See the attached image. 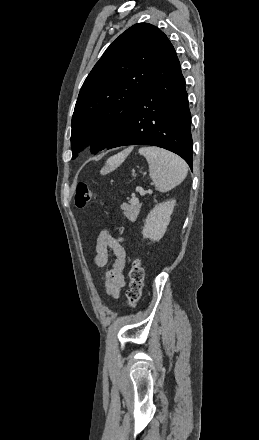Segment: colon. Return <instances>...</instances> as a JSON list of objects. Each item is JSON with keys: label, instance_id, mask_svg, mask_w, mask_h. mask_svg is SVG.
I'll list each match as a JSON object with an SVG mask.
<instances>
[{"label": "colon", "instance_id": "colon-1", "mask_svg": "<svg viewBox=\"0 0 259 440\" xmlns=\"http://www.w3.org/2000/svg\"><path fill=\"white\" fill-rule=\"evenodd\" d=\"M95 199V194L85 183H78L74 191V202L78 208H84ZM144 268L140 260H133L129 270V288L126 292L127 304L135 306L141 298L144 284Z\"/></svg>", "mask_w": 259, "mask_h": 440}]
</instances>
